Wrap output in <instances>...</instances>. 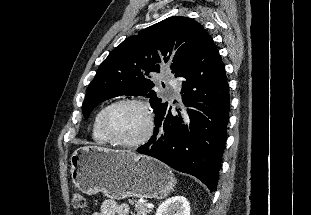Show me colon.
Segmentation results:
<instances>
[{
	"instance_id": "5ec220e1",
	"label": "colon",
	"mask_w": 311,
	"mask_h": 215,
	"mask_svg": "<svg viewBox=\"0 0 311 215\" xmlns=\"http://www.w3.org/2000/svg\"><path fill=\"white\" fill-rule=\"evenodd\" d=\"M86 205V200L84 196L79 193L75 192L72 196V206L74 209H83Z\"/></svg>"
}]
</instances>
